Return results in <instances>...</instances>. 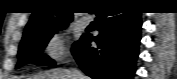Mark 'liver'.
I'll return each mask as SVG.
<instances>
[{"label": "liver", "instance_id": "6515ba94", "mask_svg": "<svg viewBox=\"0 0 177 79\" xmlns=\"http://www.w3.org/2000/svg\"><path fill=\"white\" fill-rule=\"evenodd\" d=\"M85 79H89L84 76ZM26 79H73L72 73L68 69H53L46 72H42L33 76H28Z\"/></svg>", "mask_w": 177, "mask_h": 79}]
</instances>
